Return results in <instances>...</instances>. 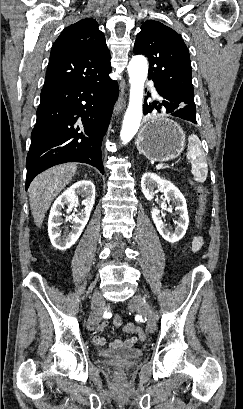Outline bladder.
I'll use <instances>...</instances> for the list:
<instances>
[{
    "instance_id": "1",
    "label": "bladder",
    "mask_w": 243,
    "mask_h": 409,
    "mask_svg": "<svg viewBox=\"0 0 243 409\" xmlns=\"http://www.w3.org/2000/svg\"><path fill=\"white\" fill-rule=\"evenodd\" d=\"M143 354L140 348L127 349H99L97 355L101 358H117L121 360H132L141 357Z\"/></svg>"
}]
</instances>
